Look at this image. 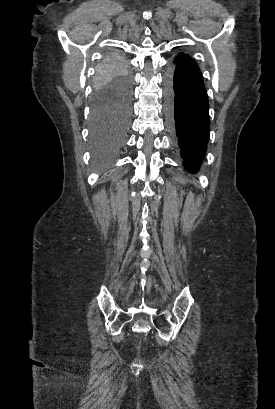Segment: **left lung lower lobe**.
Here are the masks:
<instances>
[{"label":"left lung lower lobe","mask_w":275,"mask_h":409,"mask_svg":"<svg viewBox=\"0 0 275 409\" xmlns=\"http://www.w3.org/2000/svg\"><path fill=\"white\" fill-rule=\"evenodd\" d=\"M166 79L168 129L176 138L185 169L194 174L203 161L210 132L203 77L173 62Z\"/></svg>","instance_id":"0a47b994"}]
</instances>
